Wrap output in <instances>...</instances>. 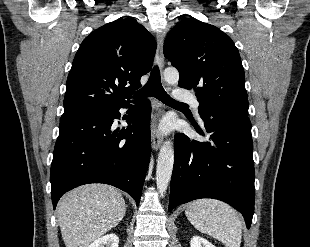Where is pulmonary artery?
<instances>
[{"label":"pulmonary artery","mask_w":310,"mask_h":247,"mask_svg":"<svg viewBox=\"0 0 310 247\" xmlns=\"http://www.w3.org/2000/svg\"><path fill=\"white\" fill-rule=\"evenodd\" d=\"M173 97L176 100L184 101V102H187V103L191 104L192 107L196 110V112L198 111L199 102L197 101V99L195 97H193L192 94L186 93V92H182L180 90V88H177V89H175L173 91Z\"/></svg>","instance_id":"e3ab8cb5"}]
</instances>
